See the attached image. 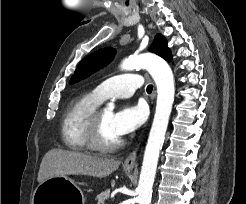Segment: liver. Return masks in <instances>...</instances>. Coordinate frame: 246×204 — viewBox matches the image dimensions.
Segmentation results:
<instances>
[{
  "label": "liver",
  "instance_id": "liver-1",
  "mask_svg": "<svg viewBox=\"0 0 246 204\" xmlns=\"http://www.w3.org/2000/svg\"><path fill=\"white\" fill-rule=\"evenodd\" d=\"M119 160L62 149L48 151L40 164L37 181L66 175H88L104 178L118 169Z\"/></svg>",
  "mask_w": 246,
  "mask_h": 204
}]
</instances>
